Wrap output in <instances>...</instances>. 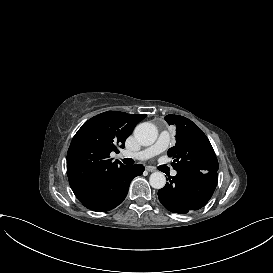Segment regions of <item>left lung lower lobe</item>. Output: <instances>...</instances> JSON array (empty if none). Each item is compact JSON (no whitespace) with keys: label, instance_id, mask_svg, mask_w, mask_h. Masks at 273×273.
Masks as SVG:
<instances>
[{"label":"left lung lower lobe","instance_id":"left-lung-lower-lobe-1","mask_svg":"<svg viewBox=\"0 0 273 273\" xmlns=\"http://www.w3.org/2000/svg\"><path fill=\"white\" fill-rule=\"evenodd\" d=\"M169 183L158 191L161 204L173 213L186 214L202 208L212 197L217 181V172L177 171L169 177Z\"/></svg>","mask_w":273,"mask_h":273}]
</instances>
